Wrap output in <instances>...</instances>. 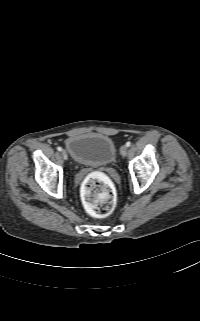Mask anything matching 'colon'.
Here are the masks:
<instances>
[{
  "label": "colon",
  "instance_id": "5ec220e1",
  "mask_svg": "<svg viewBox=\"0 0 200 321\" xmlns=\"http://www.w3.org/2000/svg\"><path fill=\"white\" fill-rule=\"evenodd\" d=\"M83 200L88 212L99 218L112 213L116 205V194L109 180L101 173L88 176L82 188Z\"/></svg>",
  "mask_w": 200,
  "mask_h": 321
}]
</instances>
